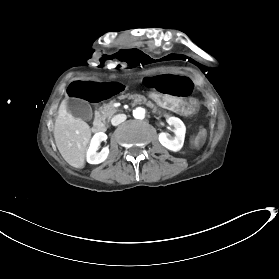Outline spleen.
Segmentation results:
<instances>
[{
	"label": "spleen",
	"mask_w": 279,
	"mask_h": 279,
	"mask_svg": "<svg viewBox=\"0 0 279 279\" xmlns=\"http://www.w3.org/2000/svg\"><path fill=\"white\" fill-rule=\"evenodd\" d=\"M206 131L204 129H201L199 133L195 136V141L193 142L194 150L196 152H199L201 148L203 147L206 139Z\"/></svg>",
	"instance_id": "spleen-1"
}]
</instances>
